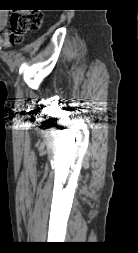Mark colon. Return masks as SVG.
Here are the masks:
<instances>
[{"label":"colon","instance_id":"colon-1","mask_svg":"<svg viewBox=\"0 0 138 253\" xmlns=\"http://www.w3.org/2000/svg\"><path fill=\"white\" fill-rule=\"evenodd\" d=\"M40 25V18L37 14L16 12L10 17V43H17L27 32L35 30Z\"/></svg>","mask_w":138,"mask_h":253}]
</instances>
